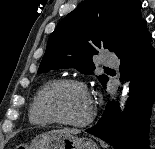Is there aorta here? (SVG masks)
Returning a JSON list of instances; mask_svg holds the SVG:
<instances>
[{
  "instance_id": "1",
  "label": "aorta",
  "mask_w": 155,
  "mask_h": 149,
  "mask_svg": "<svg viewBox=\"0 0 155 149\" xmlns=\"http://www.w3.org/2000/svg\"><path fill=\"white\" fill-rule=\"evenodd\" d=\"M127 98H128V96H127V89L124 88L123 93H122V95L120 96V99H119L121 111H123V109L125 107Z\"/></svg>"
}]
</instances>
